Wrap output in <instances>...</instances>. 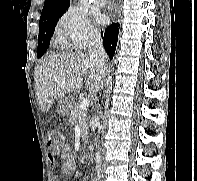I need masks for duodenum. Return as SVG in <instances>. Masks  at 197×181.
Returning <instances> with one entry per match:
<instances>
[{
	"label": "duodenum",
	"instance_id": "obj_1",
	"mask_svg": "<svg viewBox=\"0 0 197 181\" xmlns=\"http://www.w3.org/2000/svg\"><path fill=\"white\" fill-rule=\"evenodd\" d=\"M85 152L89 155V156H92V148L91 147H86L85 148Z\"/></svg>",
	"mask_w": 197,
	"mask_h": 181
}]
</instances>
